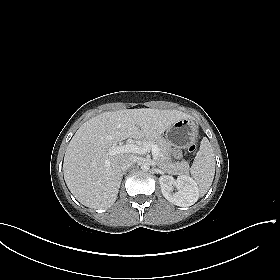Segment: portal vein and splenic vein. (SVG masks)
Listing matches in <instances>:
<instances>
[{
	"instance_id": "obj_1",
	"label": "portal vein and splenic vein",
	"mask_w": 280,
	"mask_h": 280,
	"mask_svg": "<svg viewBox=\"0 0 280 280\" xmlns=\"http://www.w3.org/2000/svg\"><path fill=\"white\" fill-rule=\"evenodd\" d=\"M152 152L153 159L156 160L159 156L160 149L156 144L146 142L143 145H135V144H125L114 146L109 150V155L115 154H124V153H135V154H145L148 151ZM109 161H106V167H109Z\"/></svg>"
}]
</instances>
